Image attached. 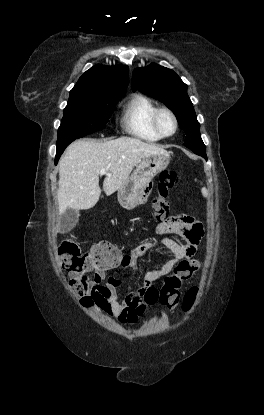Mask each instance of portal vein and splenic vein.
<instances>
[{
  "label": "portal vein and splenic vein",
  "mask_w": 264,
  "mask_h": 415,
  "mask_svg": "<svg viewBox=\"0 0 264 415\" xmlns=\"http://www.w3.org/2000/svg\"><path fill=\"white\" fill-rule=\"evenodd\" d=\"M99 174L100 175H105V174L106 175H109V174L106 173V170L105 169H101L100 172H99Z\"/></svg>",
  "instance_id": "obj_1"
}]
</instances>
